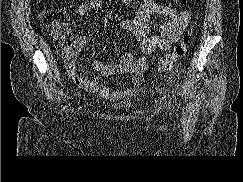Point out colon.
<instances>
[{"label": "colon", "mask_w": 243, "mask_h": 182, "mask_svg": "<svg viewBox=\"0 0 243 182\" xmlns=\"http://www.w3.org/2000/svg\"><path fill=\"white\" fill-rule=\"evenodd\" d=\"M39 19L53 38L57 52L64 58L72 57L75 54L74 32L69 26L68 12L62 8L44 9L39 13ZM191 36L192 29L190 28L173 50L158 60L156 66L158 73L171 70L186 54Z\"/></svg>", "instance_id": "colon-1"}]
</instances>
